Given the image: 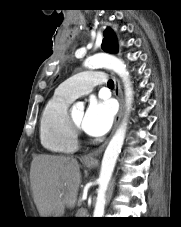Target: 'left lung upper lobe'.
Instances as JSON below:
<instances>
[{"label": "left lung upper lobe", "mask_w": 181, "mask_h": 227, "mask_svg": "<svg viewBox=\"0 0 181 227\" xmlns=\"http://www.w3.org/2000/svg\"><path fill=\"white\" fill-rule=\"evenodd\" d=\"M102 49L108 53L117 52L116 38H115V35L113 34V32L109 28L104 31Z\"/></svg>", "instance_id": "1"}]
</instances>
